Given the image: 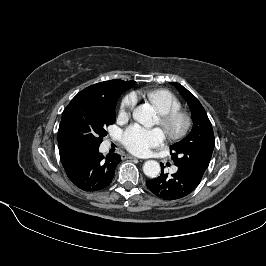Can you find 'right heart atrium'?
Wrapping results in <instances>:
<instances>
[{
    "instance_id": "obj_1",
    "label": "right heart atrium",
    "mask_w": 266,
    "mask_h": 266,
    "mask_svg": "<svg viewBox=\"0 0 266 266\" xmlns=\"http://www.w3.org/2000/svg\"><path fill=\"white\" fill-rule=\"evenodd\" d=\"M137 94L135 92H130L127 94L121 101L120 104V116L126 117L133 110L134 106L137 103Z\"/></svg>"
}]
</instances>
